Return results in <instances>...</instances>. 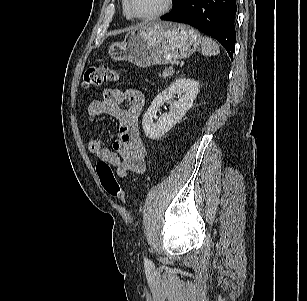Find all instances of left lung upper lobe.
Wrapping results in <instances>:
<instances>
[{
    "label": "left lung upper lobe",
    "mask_w": 307,
    "mask_h": 301,
    "mask_svg": "<svg viewBox=\"0 0 307 301\" xmlns=\"http://www.w3.org/2000/svg\"><path fill=\"white\" fill-rule=\"evenodd\" d=\"M180 0H173V5H174V8L176 7V5L178 4Z\"/></svg>",
    "instance_id": "left-lung-upper-lobe-1"
}]
</instances>
